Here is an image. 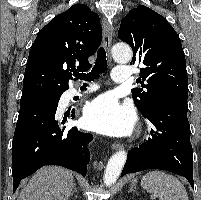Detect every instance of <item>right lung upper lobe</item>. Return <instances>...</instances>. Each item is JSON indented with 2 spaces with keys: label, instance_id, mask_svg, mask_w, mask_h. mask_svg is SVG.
<instances>
[{
  "label": "right lung upper lobe",
  "instance_id": "1",
  "mask_svg": "<svg viewBox=\"0 0 201 200\" xmlns=\"http://www.w3.org/2000/svg\"><path fill=\"white\" fill-rule=\"evenodd\" d=\"M102 40L99 17L75 4L43 27L29 52L22 97L62 95L73 79L71 71L90 67L88 57Z\"/></svg>",
  "mask_w": 201,
  "mask_h": 200
}]
</instances>
